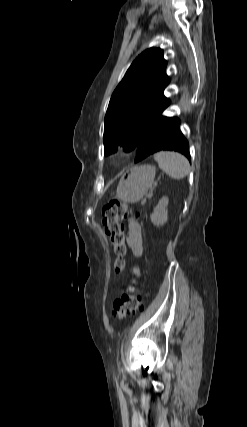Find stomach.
Masks as SVG:
<instances>
[{
	"label": "stomach",
	"instance_id": "1",
	"mask_svg": "<svg viewBox=\"0 0 247 427\" xmlns=\"http://www.w3.org/2000/svg\"><path fill=\"white\" fill-rule=\"evenodd\" d=\"M155 167L135 166L125 171L116 190V198L126 203H137L143 199L155 177Z\"/></svg>",
	"mask_w": 247,
	"mask_h": 427
}]
</instances>
